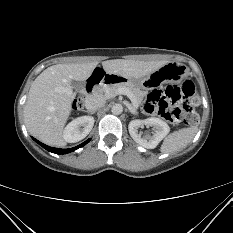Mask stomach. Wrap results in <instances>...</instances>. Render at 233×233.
<instances>
[{"instance_id":"0dacf381","label":"stomach","mask_w":233,"mask_h":233,"mask_svg":"<svg viewBox=\"0 0 233 233\" xmlns=\"http://www.w3.org/2000/svg\"><path fill=\"white\" fill-rule=\"evenodd\" d=\"M187 75L186 66L176 62H168L144 78L132 79L116 75V81L119 82L118 84H126L131 87L152 88L166 82H179Z\"/></svg>"}]
</instances>
